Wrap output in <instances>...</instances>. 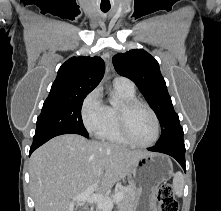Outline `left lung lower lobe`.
Masks as SVG:
<instances>
[{"mask_svg": "<svg viewBox=\"0 0 221 211\" xmlns=\"http://www.w3.org/2000/svg\"><path fill=\"white\" fill-rule=\"evenodd\" d=\"M153 152H160L172 156L175 158L179 164L182 166L186 172L185 166V145L183 140L168 142L162 145H156L148 149Z\"/></svg>", "mask_w": 221, "mask_h": 211, "instance_id": "left-lung-lower-lobe-1", "label": "left lung lower lobe"}]
</instances>
